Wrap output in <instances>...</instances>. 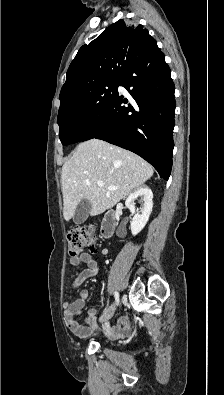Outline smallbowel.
Masks as SVG:
<instances>
[{
	"instance_id": "c3829d8e",
	"label": "small bowel",
	"mask_w": 224,
	"mask_h": 395,
	"mask_svg": "<svg viewBox=\"0 0 224 395\" xmlns=\"http://www.w3.org/2000/svg\"><path fill=\"white\" fill-rule=\"evenodd\" d=\"M84 264L85 269L82 270L73 281V288L77 289L81 284L94 277L99 270V261L95 259L90 253H82L77 257L70 259V264L77 266ZM89 297V290L83 289L80 291L79 296L71 301H65L64 306V317L69 330L78 337H87L94 331H99L100 328L97 324L96 310L91 308L89 314L85 320V325L79 323L77 316L83 311L86 301ZM105 332L111 337H121L129 333V327L126 319L121 318L117 324L109 325L105 327Z\"/></svg>"
}]
</instances>
